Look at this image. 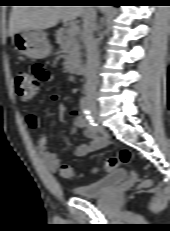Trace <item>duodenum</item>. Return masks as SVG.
Returning a JSON list of instances; mask_svg holds the SVG:
<instances>
[{
  "instance_id": "410a0bca",
  "label": "duodenum",
  "mask_w": 170,
  "mask_h": 231,
  "mask_svg": "<svg viewBox=\"0 0 170 231\" xmlns=\"http://www.w3.org/2000/svg\"><path fill=\"white\" fill-rule=\"evenodd\" d=\"M76 72H77L79 75H84V74H86L87 69H86V67H85L83 64H80V65L77 66Z\"/></svg>"
}]
</instances>
